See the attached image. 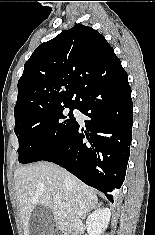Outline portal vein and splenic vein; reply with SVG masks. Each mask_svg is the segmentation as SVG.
I'll return each instance as SVG.
<instances>
[{"mask_svg":"<svg viewBox=\"0 0 155 235\" xmlns=\"http://www.w3.org/2000/svg\"><path fill=\"white\" fill-rule=\"evenodd\" d=\"M54 201H59V198L58 197H54Z\"/></svg>","mask_w":155,"mask_h":235,"instance_id":"obj_1","label":"portal vein and splenic vein"}]
</instances>
